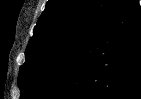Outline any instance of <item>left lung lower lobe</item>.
<instances>
[{"label":"left lung lower lobe","instance_id":"left-lung-lower-lobe-1","mask_svg":"<svg viewBox=\"0 0 141 99\" xmlns=\"http://www.w3.org/2000/svg\"><path fill=\"white\" fill-rule=\"evenodd\" d=\"M38 99H141L138 0H122Z\"/></svg>","mask_w":141,"mask_h":99}]
</instances>
